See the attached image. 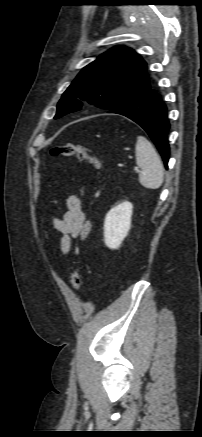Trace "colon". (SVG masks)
<instances>
[{
	"mask_svg": "<svg viewBox=\"0 0 202 437\" xmlns=\"http://www.w3.org/2000/svg\"><path fill=\"white\" fill-rule=\"evenodd\" d=\"M52 156H64V157H76L81 161H87L93 165L96 169L102 170V160L91 152L89 149L79 145H59L51 149ZM71 285L75 290H79L82 283L81 273L78 268H75L71 274Z\"/></svg>",
	"mask_w": 202,
	"mask_h": 437,
	"instance_id": "5ec220e1",
	"label": "colon"
}]
</instances>
